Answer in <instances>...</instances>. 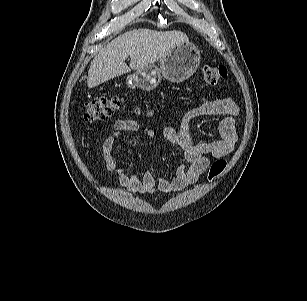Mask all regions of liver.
<instances>
[{"label": "liver", "mask_w": 307, "mask_h": 301, "mask_svg": "<svg viewBox=\"0 0 307 301\" xmlns=\"http://www.w3.org/2000/svg\"><path fill=\"white\" fill-rule=\"evenodd\" d=\"M188 42L181 31L135 29L105 45L91 62L87 85L94 88L114 77L144 68L167 55L175 45ZM130 56V65L125 63Z\"/></svg>", "instance_id": "6515ba94"}]
</instances>
